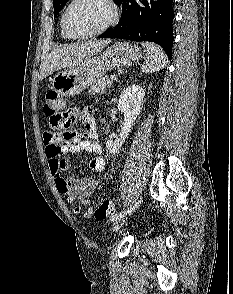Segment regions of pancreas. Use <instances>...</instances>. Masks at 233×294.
<instances>
[{
	"label": "pancreas",
	"instance_id": "1",
	"mask_svg": "<svg viewBox=\"0 0 233 294\" xmlns=\"http://www.w3.org/2000/svg\"><path fill=\"white\" fill-rule=\"evenodd\" d=\"M112 81L109 80L108 76L102 77L97 79L93 85H91L89 92L91 94H104L106 92V89L111 87Z\"/></svg>",
	"mask_w": 233,
	"mask_h": 294
}]
</instances>
